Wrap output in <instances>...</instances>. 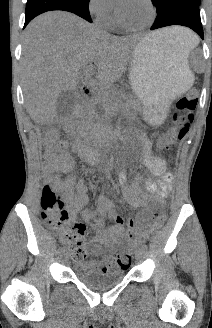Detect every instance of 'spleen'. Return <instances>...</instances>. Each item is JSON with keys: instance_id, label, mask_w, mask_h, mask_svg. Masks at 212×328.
<instances>
[{"instance_id": "obj_1", "label": "spleen", "mask_w": 212, "mask_h": 328, "mask_svg": "<svg viewBox=\"0 0 212 328\" xmlns=\"http://www.w3.org/2000/svg\"><path fill=\"white\" fill-rule=\"evenodd\" d=\"M183 31L184 35L181 40V48L188 57L190 52L198 45L199 39L192 31L184 28Z\"/></svg>"}]
</instances>
